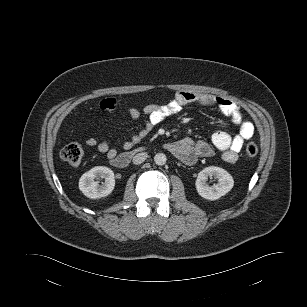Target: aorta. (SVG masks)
Masks as SVG:
<instances>
[{"label":"aorta","instance_id":"762f6f07","mask_svg":"<svg viewBox=\"0 0 307 307\" xmlns=\"http://www.w3.org/2000/svg\"><path fill=\"white\" fill-rule=\"evenodd\" d=\"M167 161V158H166V155L164 153H157L155 156H154V162L157 164V165H164Z\"/></svg>","mask_w":307,"mask_h":307}]
</instances>
